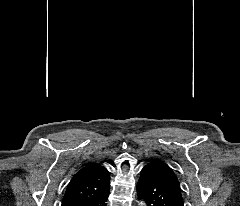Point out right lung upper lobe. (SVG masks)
<instances>
[{"label":"right lung upper lobe","mask_w":240,"mask_h":206,"mask_svg":"<svg viewBox=\"0 0 240 206\" xmlns=\"http://www.w3.org/2000/svg\"><path fill=\"white\" fill-rule=\"evenodd\" d=\"M109 172L99 164H88L79 170L68 184L62 206L82 204L109 190Z\"/></svg>","instance_id":"obj_1"}]
</instances>
